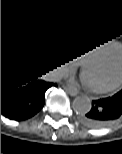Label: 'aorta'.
<instances>
[{"instance_id": "obj_1", "label": "aorta", "mask_w": 122, "mask_h": 154, "mask_svg": "<svg viewBox=\"0 0 122 154\" xmlns=\"http://www.w3.org/2000/svg\"><path fill=\"white\" fill-rule=\"evenodd\" d=\"M73 110L80 115H84L91 110V100L86 95L77 96L72 103Z\"/></svg>"}]
</instances>
